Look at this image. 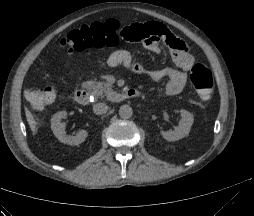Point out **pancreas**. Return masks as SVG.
<instances>
[{
    "label": "pancreas",
    "instance_id": "obj_1",
    "mask_svg": "<svg viewBox=\"0 0 254 216\" xmlns=\"http://www.w3.org/2000/svg\"><path fill=\"white\" fill-rule=\"evenodd\" d=\"M85 85L91 90L95 98H103L112 89V86L107 82L88 81Z\"/></svg>",
    "mask_w": 254,
    "mask_h": 216
}]
</instances>
